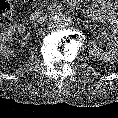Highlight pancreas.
Masks as SVG:
<instances>
[{
	"mask_svg": "<svg viewBox=\"0 0 118 118\" xmlns=\"http://www.w3.org/2000/svg\"><path fill=\"white\" fill-rule=\"evenodd\" d=\"M67 2H69V0H66ZM49 8H53V6H49Z\"/></svg>",
	"mask_w": 118,
	"mask_h": 118,
	"instance_id": "cf45deb5",
	"label": "pancreas"
}]
</instances>
